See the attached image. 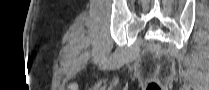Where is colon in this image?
Here are the masks:
<instances>
[{"mask_svg":"<svg viewBox=\"0 0 209 90\" xmlns=\"http://www.w3.org/2000/svg\"><path fill=\"white\" fill-rule=\"evenodd\" d=\"M147 90H162V86L155 81H151L147 85Z\"/></svg>","mask_w":209,"mask_h":90,"instance_id":"obj_1","label":"colon"}]
</instances>
